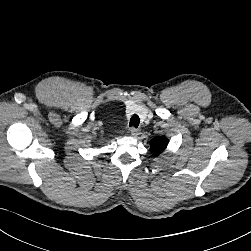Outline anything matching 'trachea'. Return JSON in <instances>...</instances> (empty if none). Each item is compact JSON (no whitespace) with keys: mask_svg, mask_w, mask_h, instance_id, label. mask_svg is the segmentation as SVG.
Segmentation results:
<instances>
[{"mask_svg":"<svg viewBox=\"0 0 251 251\" xmlns=\"http://www.w3.org/2000/svg\"><path fill=\"white\" fill-rule=\"evenodd\" d=\"M139 123H140V119H139V116L134 114L131 119H130V127H135L137 128L139 126Z\"/></svg>","mask_w":251,"mask_h":251,"instance_id":"trachea-1","label":"trachea"}]
</instances>
